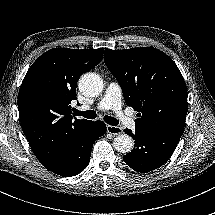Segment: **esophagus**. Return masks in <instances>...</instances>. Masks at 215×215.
I'll use <instances>...</instances> for the list:
<instances>
[{
    "label": "esophagus",
    "mask_w": 215,
    "mask_h": 215,
    "mask_svg": "<svg viewBox=\"0 0 215 215\" xmlns=\"http://www.w3.org/2000/svg\"><path fill=\"white\" fill-rule=\"evenodd\" d=\"M106 130L109 134H112V135H120L123 133V129L119 126L107 125Z\"/></svg>",
    "instance_id": "esophagus-1"
}]
</instances>
